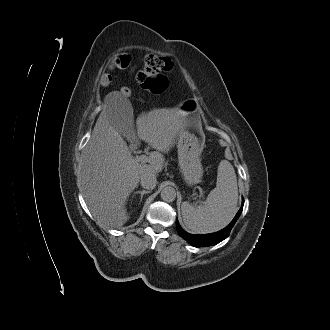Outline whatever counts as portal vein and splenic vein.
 <instances>
[{
  "label": "portal vein and splenic vein",
  "instance_id": "portal-vein-and-splenic-vein-1",
  "mask_svg": "<svg viewBox=\"0 0 330 330\" xmlns=\"http://www.w3.org/2000/svg\"><path fill=\"white\" fill-rule=\"evenodd\" d=\"M136 159H137L138 162H141V163L148 162V156H146V155L137 156Z\"/></svg>",
  "mask_w": 330,
  "mask_h": 330
}]
</instances>
